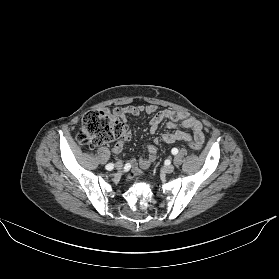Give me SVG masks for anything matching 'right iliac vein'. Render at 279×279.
Instances as JSON below:
<instances>
[{"instance_id": "obj_1", "label": "right iliac vein", "mask_w": 279, "mask_h": 279, "mask_svg": "<svg viewBox=\"0 0 279 279\" xmlns=\"http://www.w3.org/2000/svg\"><path fill=\"white\" fill-rule=\"evenodd\" d=\"M115 168H116L117 170H121V169L123 168V163H122V162H117V163L115 164Z\"/></svg>"}]
</instances>
